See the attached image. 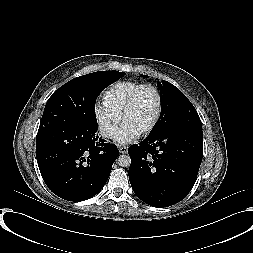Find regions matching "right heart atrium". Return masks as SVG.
<instances>
[{"label": "right heart atrium", "instance_id": "1", "mask_svg": "<svg viewBox=\"0 0 253 253\" xmlns=\"http://www.w3.org/2000/svg\"><path fill=\"white\" fill-rule=\"evenodd\" d=\"M93 116L100 135L104 138L111 137L120 121V116L107 108L103 102H98L93 109Z\"/></svg>", "mask_w": 253, "mask_h": 253}]
</instances>
